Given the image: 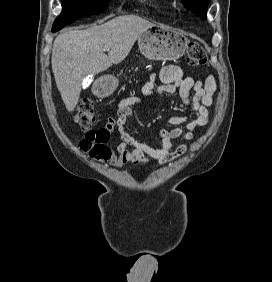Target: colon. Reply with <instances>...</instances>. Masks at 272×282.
Instances as JSON below:
<instances>
[{
  "label": "colon",
  "mask_w": 272,
  "mask_h": 282,
  "mask_svg": "<svg viewBox=\"0 0 272 282\" xmlns=\"http://www.w3.org/2000/svg\"><path fill=\"white\" fill-rule=\"evenodd\" d=\"M206 51L196 42H189L187 45L186 59L193 66H201L206 62ZM98 108L90 99H83L74 111V121L83 129L88 130L96 121ZM111 132L108 128L89 130L78 141L81 149L88 152L89 155L98 161H108L111 151L108 146Z\"/></svg>",
  "instance_id": "5ec220e1"
}]
</instances>
